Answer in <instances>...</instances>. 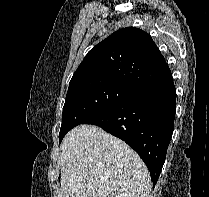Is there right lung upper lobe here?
Instances as JSON below:
<instances>
[{
  "label": "right lung upper lobe",
  "mask_w": 209,
  "mask_h": 197,
  "mask_svg": "<svg viewBox=\"0 0 209 197\" xmlns=\"http://www.w3.org/2000/svg\"><path fill=\"white\" fill-rule=\"evenodd\" d=\"M171 71L154 41L135 27L120 29L91 49L69 84L87 80H115L136 89Z\"/></svg>",
  "instance_id": "obj_1"
}]
</instances>
